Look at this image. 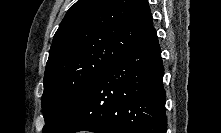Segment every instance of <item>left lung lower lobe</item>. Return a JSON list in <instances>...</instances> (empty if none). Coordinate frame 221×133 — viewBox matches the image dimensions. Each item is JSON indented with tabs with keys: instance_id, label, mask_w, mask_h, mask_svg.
<instances>
[{
	"instance_id": "left-lung-lower-lobe-1",
	"label": "left lung lower lobe",
	"mask_w": 221,
	"mask_h": 133,
	"mask_svg": "<svg viewBox=\"0 0 221 133\" xmlns=\"http://www.w3.org/2000/svg\"><path fill=\"white\" fill-rule=\"evenodd\" d=\"M163 75L152 28L98 76L56 133H166Z\"/></svg>"
}]
</instances>
